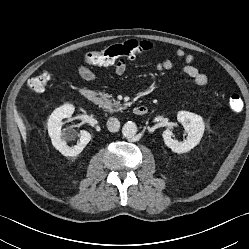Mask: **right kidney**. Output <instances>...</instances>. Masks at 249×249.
<instances>
[{"instance_id":"obj_1","label":"right kidney","mask_w":249,"mask_h":249,"mask_svg":"<svg viewBox=\"0 0 249 249\" xmlns=\"http://www.w3.org/2000/svg\"><path fill=\"white\" fill-rule=\"evenodd\" d=\"M74 112V106L65 104L53 111L47 123L48 133L53 146L64 156H77L91 140V135L86 130L80 131V139L75 146H68L66 139L72 137L71 134L61 131L64 118H70Z\"/></svg>"}]
</instances>
